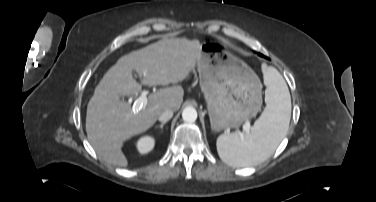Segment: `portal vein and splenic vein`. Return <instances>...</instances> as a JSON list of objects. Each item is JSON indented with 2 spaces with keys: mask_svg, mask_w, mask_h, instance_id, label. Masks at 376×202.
<instances>
[{
  "mask_svg": "<svg viewBox=\"0 0 376 202\" xmlns=\"http://www.w3.org/2000/svg\"><path fill=\"white\" fill-rule=\"evenodd\" d=\"M148 102V99H147V96L145 93H142L134 102L133 104V108H136V109H140L142 108L143 106H145ZM249 129H250V124L249 122H246L245 124V130L247 132H249Z\"/></svg>",
  "mask_w": 376,
  "mask_h": 202,
  "instance_id": "portal-vein-and-splenic-vein-1",
  "label": "portal vein and splenic vein"
}]
</instances>
